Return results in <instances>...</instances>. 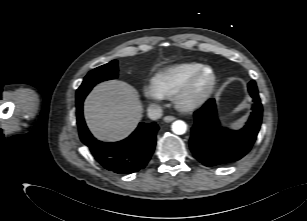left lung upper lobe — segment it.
Instances as JSON below:
<instances>
[{
    "mask_svg": "<svg viewBox=\"0 0 307 221\" xmlns=\"http://www.w3.org/2000/svg\"><path fill=\"white\" fill-rule=\"evenodd\" d=\"M255 83V81H251L249 84H248V86H251V85H253ZM256 84V83H255Z\"/></svg>",
    "mask_w": 307,
    "mask_h": 221,
    "instance_id": "obj_1",
    "label": "left lung upper lobe"
}]
</instances>
